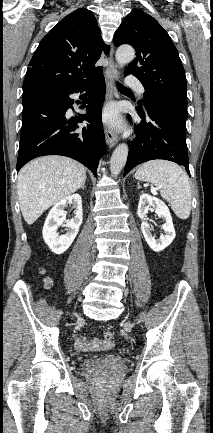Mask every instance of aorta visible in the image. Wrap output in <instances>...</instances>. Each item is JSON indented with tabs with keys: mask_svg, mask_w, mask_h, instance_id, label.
I'll use <instances>...</instances> for the list:
<instances>
[{
	"mask_svg": "<svg viewBox=\"0 0 213 433\" xmlns=\"http://www.w3.org/2000/svg\"><path fill=\"white\" fill-rule=\"evenodd\" d=\"M135 57V51L131 46H120L115 54L116 61L120 67L131 62ZM128 146L122 143L116 147L111 159H110V169L114 177L119 175L121 170L124 168L127 156H128Z\"/></svg>",
	"mask_w": 213,
	"mask_h": 433,
	"instance_id": "aorta-1",
	"label": "aorta"
}]
</instances>
